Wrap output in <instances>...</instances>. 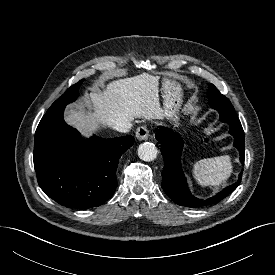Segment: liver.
I'll list each match as a JSON object with an SVG mask.
<instances>
[{
	"mask_svg": "<svg viewBox=\"0 0 275 275\" xmlns=\"http://www.w3.org/2000/svg\"><path fill=\"white\" fill-rule=\"evenodd\" d=\"M158 80V77L143 73L112 81L103 91L90 93L93 112L69 107L65 121L88 136L100 125L112 127L134 118L164 119Z\"/></svg>",
	"mask_w": 275,
	"mask_h": 275,
	"instance_id": "1",
	"label": "liver"
}]
</instances>
